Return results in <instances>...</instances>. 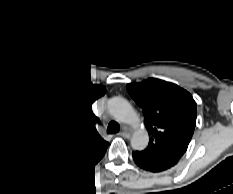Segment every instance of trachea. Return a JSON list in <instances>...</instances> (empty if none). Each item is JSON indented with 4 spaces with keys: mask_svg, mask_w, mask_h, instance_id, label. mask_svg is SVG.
Listing matches in <instances>:
<instances>
[{
    "mask_svg": "<svg viewBox=\"0 0 233 194\" xmlns=\"http://www.w3.org/2000/svg\"><path fill=\"white\" fill-rule=\"evenodd\" d=\"M109 128L113 131V132H117L119 130V127L117 125H111L109 126Z\"/></svg>",
    "mask_w": 233,
    "mask_h": 194,
    "instance_id": "1",
    "label": "trachea"
}]
</instances>
